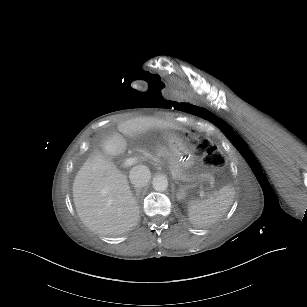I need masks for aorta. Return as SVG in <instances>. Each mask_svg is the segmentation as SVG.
I'll list each match as a JSON object with an SVG mask.
<instances>
[{
    "instance_id": "aorta-1",
    "label": "aorta",
    "mask_w": 307,
    "mask_h": 307,
    "mask_svg": "<svg viewBox=\"0 0 307 307\" xmlns=\"http://www.w3.org/2000/svg\"><path fill=\"white\" fill-rule=\"evenodd\" d=\"M153 189L157 192H164L168 188V180L164 176H156L152 181Z\"/></svg>"
}]
</instances>
